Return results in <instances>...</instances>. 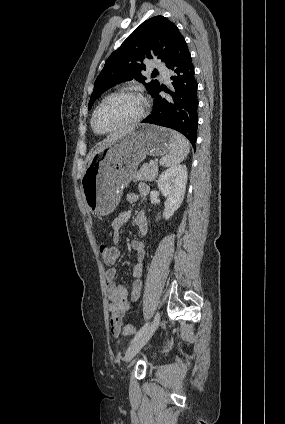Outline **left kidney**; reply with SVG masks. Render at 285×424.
Masks as SVG:
<instances>
[{
    "label": "left kidney",
    "mask_w": 285,
    "mask_h": 424,
    "mask_svg": "<svg viewBox=\"0 0 285 424\" xmlns=\"http://www.w3.org/2000/svg\"><path fill=\"white\" fill-rule=\"evenodd\" d=\"M187 168L176 165L164 171L158 179V188L167 197L163 218L169 219L179 209L184 199L187 184Z\"/></svg>",
    "instance_id": "1"
}]
</instances>
